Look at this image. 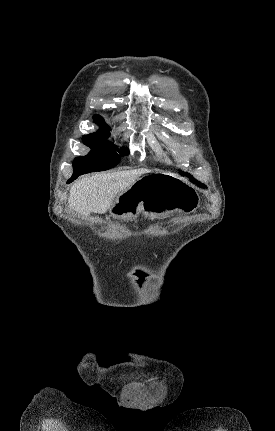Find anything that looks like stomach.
Returning <instances> with one entry per match:
<instances>
[{"mask_svg":"<svg viewBox=\"0 0 275 431\" xmlns=\"http://www.w3.org/2000/svg\"><path fill=\"white\" fill-rule=\"evenodd\" d=\"M200 197L186 181L167 173H151L137 179L119 194L111 205L110 214L132 220L140 213L149 218L196 211Z\"/></svg>","mask_w":275,"mask_h":431,"instance_id":"1","label":"stomach"}]
</instances>
